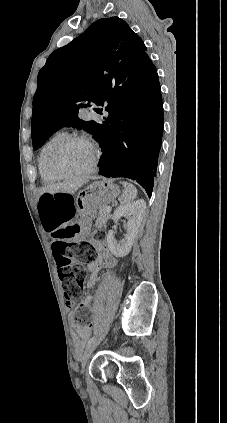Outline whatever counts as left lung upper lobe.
Here are the masks:
<instances>
[{
	"label": "left lung upper lobe",
	"instance_id": "left-lung-upper-lobe-1",
	"mask_svg": "<svg viewBox=\"0 0 227 423\" xmlns=\"http://www.w3.org/2000/svg\"><path fill=\"white\" fill-rule=\"evenodd\" d=\"M155 70L144 42L125 21L111 17L92 23L55 50L39 71L33 99V148H40L63 126L84 129L97 139L100 124L81 120L79 108L95 103L106 106L107 112L127 110Z\"/></svg>",
	"mask_w": 227,
	"mask_h": 423
}]
</instances>
